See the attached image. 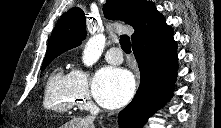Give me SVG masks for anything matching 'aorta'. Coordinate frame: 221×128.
I'll return each mask as SVG.
<instances>
[{
    "label": "aorta",
    "instance_id": "aorta-1",
    "mask_svg": "<svg viewBox=\"0 0 221 128\" xmlns=\"http://www.w3.org/2000/svg\"><path fill=\"white\" fill-rule=\"evenodd\" d=\"M106 43V37L98 34L91 37L83 50L82 61L86 66H92L100 58Z\"/></svg>",
    "mask_w": 221,
    "mask_h": 128
}]
</instances>
